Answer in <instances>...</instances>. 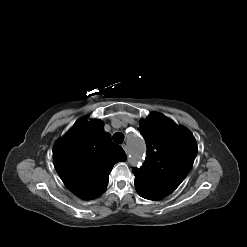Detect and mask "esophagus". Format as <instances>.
I'll return each mask as SVG.
<instances>
[{"label":"esophagus","mask_w":247,"mask_h":247,"mask_svg":"<svg viewBox=\"0 0 247 247\" xmlns=\"http://www.w3.org/2000/svg\"><path fill=\"white\" fill-rule=\"evenodd\" d=\"M122 148L126 154H128V146L126 144H122Z\"/></svg>","instance_id":"esophagus-1"}]
</instances>
